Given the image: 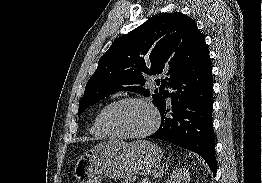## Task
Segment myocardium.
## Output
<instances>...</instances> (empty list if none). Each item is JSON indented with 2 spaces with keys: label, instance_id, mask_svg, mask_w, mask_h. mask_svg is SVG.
Returning <instances> with one entry per match:
<instances>
[{
  "label": "myocardium",
  "instance_id": "myocardium-1",
  "mask_svg": "<svg viewBox=\"0 0 262 183\" xmlns=\"http://www.w3.org/2000/svg\"><path fill=\"white\" fill-rule=\"evenodd\" d=\"M126 103H139L143 104L146 107H148L152 114H153V124L149 129L142 133L138 134H120L110 128L107 122V115L108 113L115 107L126 104ZM100 124L102 129L110 136L113 138L117 139H130V140H138V139H143L146 138L150 135H152L160 126V113L156 106L149 100L145 98H140V97H124L119 100L113 101L107 106L104 107V109L101 112L100 116Z\"/></svg>",
  "mask_w": 262,
  "mask_h": 183
}]
</instances>
